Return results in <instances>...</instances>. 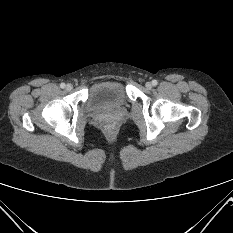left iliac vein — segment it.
<instances>
[{
    "label": "left iliac vein",
    "mask_w": 233,
    "mask_h": 233,
    "mask_svg": "<svg viewBox=\"0 0 233 233\" xmlns=\"http://www.w3.org/2000/svg\"><path fill=\"white\" fill-rule=\"evenodd\" d=\"M145 86H146L147 89H151L152 88V84L150 82H147L145 84Z\"/></svg>",
    "instance_id": "4c4485c4"
}]
</instances>
